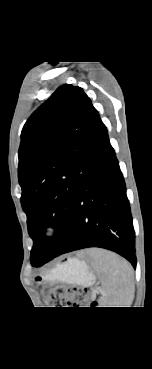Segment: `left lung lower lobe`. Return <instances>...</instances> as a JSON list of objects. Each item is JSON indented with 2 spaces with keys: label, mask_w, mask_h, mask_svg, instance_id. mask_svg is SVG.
Wrapping results in <instances>:
<instances>
[{
  "label": "left lung lower lobe",
  "mask_w": 152,
  "mask_h": 369,
  "mask_svg": "<svg viewBox=\"0 0 152 369\" xmlns=\"http://www.w3.org/2000/svg\"><path fill=\"white\" fill-rule=\"evenodd\" d=\"M88 247L117 252L136 268L135 233L125 182L101 119L84 155V172L75 193L73 222L53 258Z\"/></svg>",
  "instance_id": "left-lung-lower-lobe-1"
}]
</instances>
